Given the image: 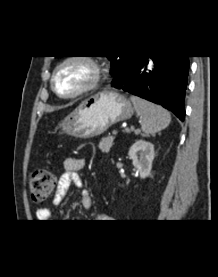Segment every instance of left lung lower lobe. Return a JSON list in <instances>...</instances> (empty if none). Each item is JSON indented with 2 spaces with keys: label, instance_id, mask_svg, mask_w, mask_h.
<instances>
[{
  "label": "left lung lower lobe",
  "instance_id": "obj_1",
  "mask_svg": "<svg viewBox=\"0 0 218 277\" xmlns=\"http://www.w3.org/2000/svg\"><path fill=\"white\" fill-rule=\"evenodd\" d=\"M189 56L134 55L111 86L159 104L185 119Z\"/></svg>",
  "mask_w": 218,
  "mask_h": 277
}]
</instances>
